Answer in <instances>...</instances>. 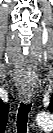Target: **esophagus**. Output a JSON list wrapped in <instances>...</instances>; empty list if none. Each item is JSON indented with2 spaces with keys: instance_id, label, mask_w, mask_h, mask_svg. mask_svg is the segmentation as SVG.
I'll use <instances>...</instances> for the list:
<instances>
[{
  "instance_id": "1",
  "label": "esophagus",
  "mask_w": 53,
  "mask_h": 133,
  "mask_svg": "<svg viewBox=\"0 0 53 133\" xmlns=\"http://www.w3.org/2000/svg\"><path fill=\"white\" fill-rule=\"evenodd\" d=\"M20 95H21V99L24 103H30L32 101V98H33V94H32V91L29 90V89H23L21 92H20Z\"/></svg>"
}]
</instances>
